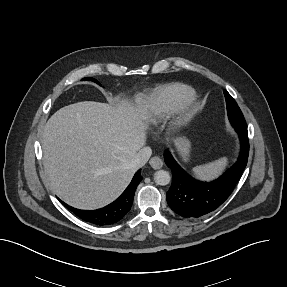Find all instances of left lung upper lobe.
<instances>
[{
    "label": "left lung upper lobe",
    "mask_w": 287,
    "mask_h": 287,
    "mask_svg": "<svg viewBox=\"0 0 287 287\" xmlns=\"http://www.w3.org/2000/svg\"><path fill=\"white\" fill-rule=\"evenodd\" d=\"M224 95L226 99V105H227V113H228V118L231 123H246L244 116L238 107L237 103L235 100L231 97V95L224 90Z\"/></svg>",
    "instance_id": "obj_1"
}]
</instances>
